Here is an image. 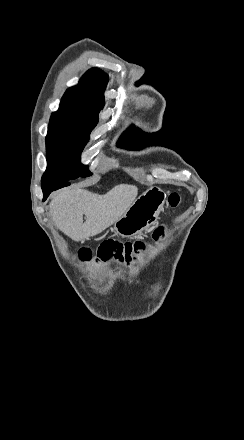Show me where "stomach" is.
I'll use <instances>...</instances> for the list:
<instances>
[{
    "label": "stomach",
    "instance_id": "stomach-1",
    "mask_svg": "<svg viewBox=\"0 0 244 440\" xmlns=\"http://www.w3.org/2000/svg\"><path fill=\"white\" fill-rule=\"evenodd\" d=\"M165 200L166 194L161 188H157V186L148 188L126 210L122 218L115 222V234L121 236V238L141 236L142 232L149 230L159 220Z\"/></svg>",
    "mask_w": 244,
    "mask_h": 440
}]
</instances>
